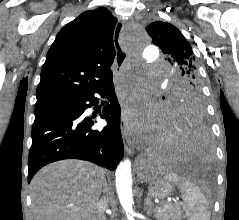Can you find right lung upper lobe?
<instances>
[{
    "label": "right lung upper lobe",
    "instance_id": "cb5924a9",
    "mask_svg": "<svg viewBox=\"0 0 239 220\" xmlns=\"http://www.w3.org/2000/svg\"><path fill=\"white\" fill-rule=\"evenodd\" d=\"M116 22L110 11L100 7L60 30L41 70L35 108L86 95L112 76Z\"/></svg>",
    "mask_w": 239,
    "mask_h": 220
}]
</instances>
